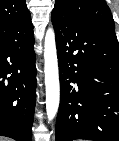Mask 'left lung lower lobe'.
I'll return each mask as SVG.
<instances>
[{
	"label": "left lung lower lobe",
	"instance_id": "obj_1",
	"mask_svg": "<svg viewBox=\"0 0 119 141\" xmlns=\"http://www.w3.org/2000/svg\"><path fill=\"white\" fill-rule=\"evenodd\" d=\"M60 74L56 141H119L116 34L52 16Z\"/></svg>",
	"mask_w": 119,
	"mask_h": 141
}]
</instances>
